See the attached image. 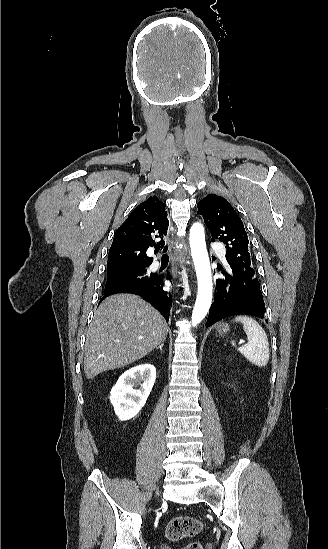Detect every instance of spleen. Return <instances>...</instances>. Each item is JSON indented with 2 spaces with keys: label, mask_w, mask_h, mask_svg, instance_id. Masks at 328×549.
I'll list each match as a JSON object with an SVG mask.
<instances>
[{
  "label": "spleen",
  "mask_w": 328,
  "mask_h": 549,
  "mask_svg": "<svg viewBox=\"0 0 328 549\" xmlns=\"http://www.w3.org/2000/svg\"><path fill=\"white\" fill-rule=\"evenodd\" d=\"M234 321L235 323H242L244 333H246L248 339L247 345L238 347L237 351L241 355H244L250 363L256 365V367H265L269 361L270 353L264 329H262L257 321H254L251 317H246V315H238ZM232 345L235 347L234 341H232Z\"/></svg>",
  "instance_id": "obj_1"
}]
</instances>
